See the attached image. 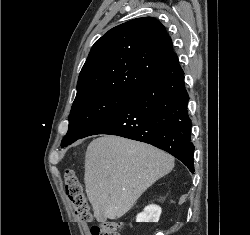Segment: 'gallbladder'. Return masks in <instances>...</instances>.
Masks as SVG:
<instances>
[{"instance_id": "1", "label": "gallbladder", "mask_w": 250, "mask_h": 235, "mask_svg": "<svg viewBox=\"0 0 250 235\" xmlns=\"http://www.w3.org/2000/svg\"><path fill=\"white\" fill-rule=\"evenodd\" d=\"M99 219L100 221H106V217L103 214L100 215Z\"/></svg>"}]
</instances>
